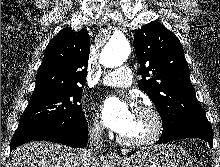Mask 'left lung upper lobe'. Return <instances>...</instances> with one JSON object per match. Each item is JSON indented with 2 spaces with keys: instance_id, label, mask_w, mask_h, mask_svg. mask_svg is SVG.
<instances>
[{
  "instance_id": "obj_1",
  "label": "left lung upper lobe",
  "mask_w": 220,
  "mask_h": 167,
  "mask_svg": "<svg viewBox=\"0 0 220 167\" xmlns=\"http://www.w3.org/2000/svg\"><path fill=\"white\" fill-rule=\"evenodd\" d=\"M134 47L142 79L138 86L156 106L162 133H174L192 121L207 119L190 82L182 45L174 33L152 21L137 30Z\"/></svg>"
}]
</instances>
